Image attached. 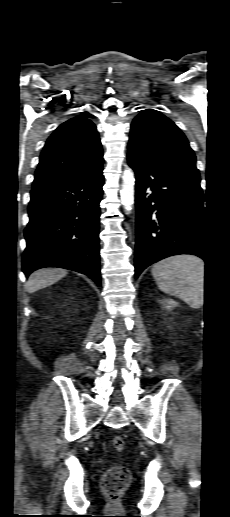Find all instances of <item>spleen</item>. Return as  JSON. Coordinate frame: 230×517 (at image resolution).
<instances>
[{
  "label": "spleen",
  "instance_id": "3e777b00",
  "mask_svg": "<svg viewBox=\"0 0 230 517\" xmlns=\"http://www.w3.org/2000/svg\"><path fill=\"white\" fill-rule=\"evenodd\" d=\"M204 262L193 255H178L156 263L152 275L161 291L192 308L204 304Z\"/></svg>",
  "mask_w": 230,
  "mask_h": 517
}]
</instances>
